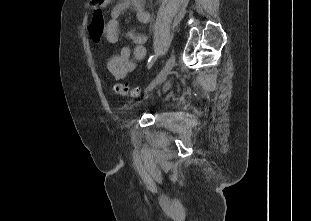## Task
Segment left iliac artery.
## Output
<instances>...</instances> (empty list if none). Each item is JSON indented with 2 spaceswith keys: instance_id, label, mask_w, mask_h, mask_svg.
<instances>
[{
  "instance_id": "44dca946",
  "label": "left iliac artery",
  "mask_w": 311,
  "mask_h": 221,
  "mask_svg": "<svg viewBox=\"0 0 311 221\" xmlns=\"http://www.w3.org/2000/svg\"><path fill=\"white\" fill-rule=\"evenodd\" d=\"M156 59H157V56H156V55H153V56H151V57L149 58V60H148V68H150V67L154 64V62L156 61Z\"/></svg>"
}]
</instances>
